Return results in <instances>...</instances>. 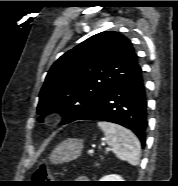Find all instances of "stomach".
<instances>
[{
    "label": "stomach",
    "mask_w": 178,
    "mask_h": 186,
    "mask_svg": "<svg viewBox=\"0 0 178 186\" xmlns=\"http://www.w3.org/2000/svg\"><path fill=\"white\" fill-rule=\"evenodd\" d=\"M83 150L79 139H67L58 144L49 156L51 164H62L77 159Z\"/></svg>",
    "instance_id": "stomach-1"
}]
</instances>
